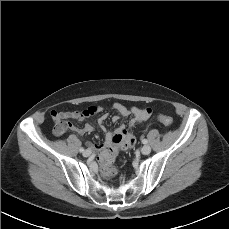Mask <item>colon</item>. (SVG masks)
Segmentation results:
<instances>
[{
  "mask_svg": "<svg viewBox=\"0 0 229 229\" xmlns=\"http://www.w3.org/2000/svg\"><path fill=\"white\" fill-rule=\"evenodd\" d=\"M145 111L150 114L151 109L145 108ZM97 113V107L92 106L90 110L85 113V116H91ZM159 121L165 126H170L173 122L172 118L168 115H160ZM72 126L71 122L67 119L65 114L57 115V121L54 127V134L61 135L70 129ZM123 140L122 134H117L112 139V146L106 147L102 150L99 160L102 165L101 175L104 178H113L117 170L115 168L114 162L119 154L121 148V142Z\"/></svg>",
  "mask_w": 229,
  "mask_h": 229,
  "instance_id": "5ec220e1",
  "label": "colon"
}]
</instances>
